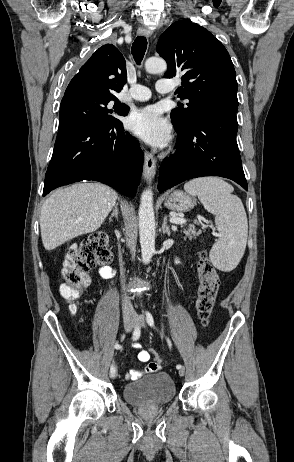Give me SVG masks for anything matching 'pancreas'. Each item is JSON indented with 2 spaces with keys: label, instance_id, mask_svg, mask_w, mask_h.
I'll return each instance as SVG.
<instances>
[{
  "label": "pancreas",
  "instance_id": "obj_1",
  "mask_svg": "<svg viewBox=\"0 0 294 462\" xmlns=\"http://www.w3.org/2000/svg\"><path fill=\"white\" fill-rule=\"evenodd\" d=\"M183 233L187 238L190 239L198 235V232H196V228L194 225H190L187 229H184Z\"/></svg>",
  "mask_w": 294,
  "mask_h": 462
}]
</instances>
